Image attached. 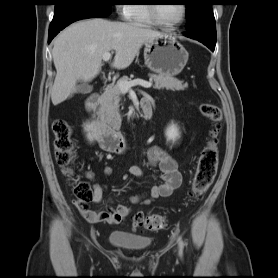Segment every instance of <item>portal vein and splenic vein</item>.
Here are the masks:
<instances>
[{
	"mask_svg": "<svg viewBox=\"0 0 278 278\" xmlns=\"http://www.w3.org/2000/svg\"><path fill=\"white\" fill-rule=\"evenodd\" d=\"M103 61L107 62L111 59V53L110 52H106L103 54L102 56ZM142 86L144 88H150L153 83L152 81H139V80H134V81H120L118 82V87L121 90V92H127L129 91L132 87L134 86Z\"/></svg>",
	"mask_w": 278,
	"mask_h": 278,
	"instance_id": "18ae733b",
	"label": "portal vein and splenic vein"
}]
</instances>
